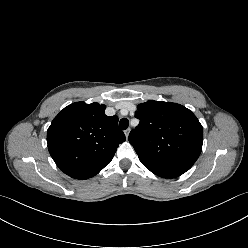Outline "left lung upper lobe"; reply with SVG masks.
Returning a JSON list of instances; mask_svg holds the SVG:
<instances>
[{
	"label": "left lung upper lobe",
	"mask_w": 248,
	"mask_h": 248,
	"mask_svg": "<svg viewBox=\"0 0 248 248\" xmlns=\"http://www.w3.org/2000/svg\"><path fill=\"white\" fill-rule=\"evenodd\" d=\"M139 125L129 142L141 163L155 175L176 178L198 159L203 144V127L186 107L149 100L137 106Z\"/></svg>",
	"instance_id": "left-lung-upper-lobe-1"
}]
</instances>
